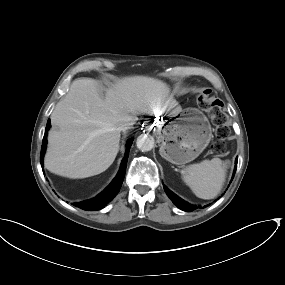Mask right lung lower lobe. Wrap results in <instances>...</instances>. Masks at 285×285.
Listing matches in <instances>:
<instances>
[{
  "label": "right lung lower lobe",
  "mask_w": 285,
  "mask_h": 285,
  "mask_svg": "<svg viewBox=\"0 0 285 285\" xmlns=\"http://www.w3.org/2000/svg\"><path fill=\"white\" fill-rule=\"evenodd\" d=\"M50 127L51 126H50V119H49L47 122L44 138L42 141L41 154H40V163L41 164L43 163V157H44V153H45L46 145H47L46 137H47V133H48V130ZM131 144H132V139L128 140L126 143V153H125V156L121 162L120 170H119L117 176L110 183V185L104 191H102L99 195H97L95 198L75 203V205L77 207H79L83 210H87V211H90V210L95 211V210H99V209L104 208L108 202H110L114 199V197L119 192L121 185L123 183Z\"/></svg>",
  "instance_id": "98d812e1"
}]
</instances>
